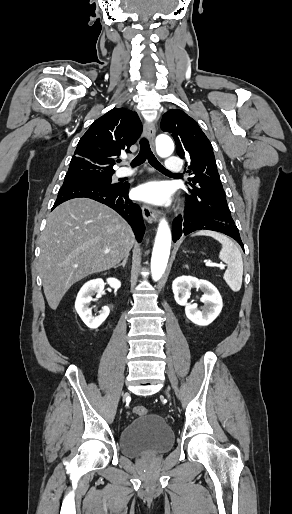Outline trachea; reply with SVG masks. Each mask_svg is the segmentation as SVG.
Listing matches in <instances>:
<instances>
[{
    "instance_id": "3493384b",
    "label": "trachea",
    "mask_w": 292,
    "mask_h": 514,
    "mask_svg": "<svg viewBox=\"0 0 292 514\" xmlns=\"http://www.w3.org/2000/svg\"><path fill=\"white\" fill-rule=\"evenodd\" d=\"M148 160L149 164L154 167V169L167 171L163 165L158 162L155 155L151 151L148 139L146 137H142L140 140V151L139 154L134 158V160L131 162L132 167L139 166L145 162V160Z\"/></svg>"
}]
</instances>
